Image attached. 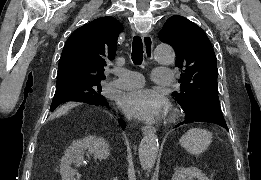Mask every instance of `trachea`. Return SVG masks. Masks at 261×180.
<instances>
[{
	"label": "trachea",
	"instance_id": "1",
	"mask_svg": "<svg viewBox=\"0 0 261 180\" xmlns=\"http://www.w3.org/2000/svg\"><path fill=\"white\" fill-rule=\"evenodd\" d=\"M131 58L135 65H141L143 61V43L141 37L135 35L132 42Z\"/></svg>",
	"mask_w": 261,
	"mask_h": 180
}]
</instances>
